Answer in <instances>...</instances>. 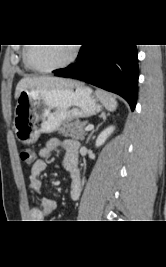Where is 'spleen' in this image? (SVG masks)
<instances>
[{
  "label": "spleen",
  "mask_w": 166,
  "mask_h": 267,
  "mask_svg": "<svg viewBox=\"0 0 166 267\" xmlns=\"http://www.w3.org/2000/svg\"><path fill=\"white\" fill-rule=\"evenodd\" d=\"M96 93H97L98 98L101 100V102L103 103V105L105 106L107 110L109 111L116 110L117 101L112 95L106 92H103V91H97Z\"/></svg>",
  "instance_id": "3e777b00"
}]
</instances>
